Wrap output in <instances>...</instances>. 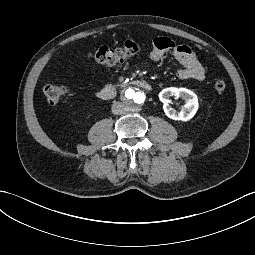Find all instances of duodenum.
<instances>
[{
    "label": "duodenum",
    "mask_w": 255,
    "mask_h": 255,
    "mask_svg": "<svg viewBox=\"0 0 255 255\" xmlns=\"http://www.w3.org/2000/svg\"><path fill=\"white\" fill-rule=\"evenodd\" d=\"M129 85L143 89L145 91H149L151 89L150 83L144 79H135L131 81ZM116 94H117V88L114 86L102 88L97 92V96L101 100H111L115 98Z\"/></svg>",
    "instance_id": "duodenum-1"
}]
</instances>
